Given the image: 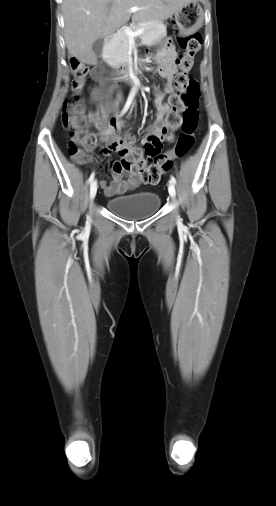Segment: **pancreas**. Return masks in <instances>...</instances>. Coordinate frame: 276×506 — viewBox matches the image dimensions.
<instances>
[{"instance_id":"cf45deb5","label":"pancreas","mask_w":276,"mask_h":506,"mask_svg":"<svg viewBox=\"0 0 276 506\" xmlns=\"http://www.w3.org/2000/svg\"><path fill=\"white\" fill-rule=\"evenodd\" d=\"M144 29V32L140 35L141 43L143 45H150L156 39L166 33V27L160 23L143 24L141 26H135L132 30ZM129 37L125 31H119L116 33L112 41L108 44L105 49V60L112 63H121L129 57Z\"/></svg>"}]
</instances>
